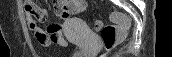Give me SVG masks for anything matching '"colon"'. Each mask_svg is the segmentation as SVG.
I'll list each match as a JSON object with an SVG mask.
<instances>
[{"mask_svg":"<svg viewBox=\"0 0 172 57\" xmlns=\"http://www.w3.org/2000/svg\"><path fill=\"white\" fill-rule=\"evenodd\" d=\"M25 10L30 15L40 13L39 8L31 3H28ZM111 18L115 24L103 25L101 21H96L94 25L95 29L100 32L104 43L105 53L102 55L103 57L107 56L108 52L113 50L123 40L130 26L129 19L123 14L113 13Z\"/></svg>","mask_w":172,"mask_h":57,"instance_id":"colon-1","label":"colon"}]
</instances>
